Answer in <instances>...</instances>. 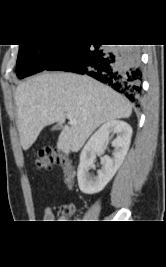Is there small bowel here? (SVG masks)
I'll return each instance as SVG.
<instances>
[{
    "label": "small bowel",
    "mask_w": 166,
    "mask_h": 267,
    "mask_svg": "<svg viewBox=\"0 0 166 267\" xmlns=\"http://www.w3.org/2000/svg\"><path fill=\"white\" fill-rule=\"evenodd\" d=\"M69 186L73 185V182L68 184ZM44 222H53L55 220V214L50 207L45 208L43 215Z\"/></svg>",
    "instance_id": "1"
}]
</instances>
